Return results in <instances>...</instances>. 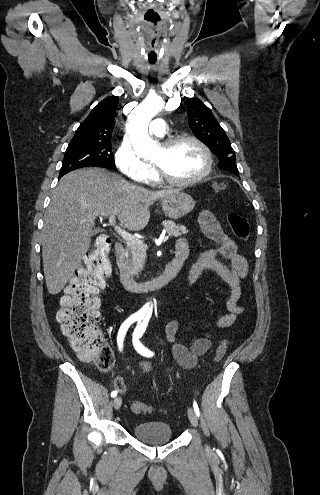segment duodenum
<instances>
[{
  "mask_svg": "<svg viewBox=\"0 0 320 495\" xmlns=\"http://www.w3.org/2000/svg\"><path fill=\"white\" fill-rule=\"evenodd\" d=\"M188 251L186 249L176 248L175 257L166 264L163 273L147 281H137L129 273L126 263V250L121 242L115 245V256L120 281L123 286L134 292H148L164 287L169 284L180 271Z\"/></svg>",
  "mask_w": 320,
  "mask_h": 495,
  "instance_id": "1",
  "label": "duodenum"
}]
</instances>
